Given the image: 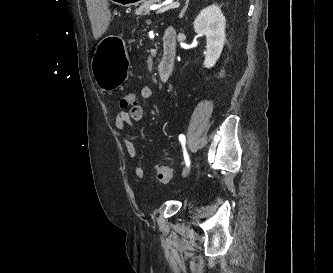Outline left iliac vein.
<instances>
[{
    "mask_svg": "<svg viewBox=\"0 0 333 273\" xmlns=\"http://www.w3.org/2000/svg\"><path fill=\"white\" fill-rule=\"evenodd\" d=\"M190 167H191V165H189L188 167H187V169L184 171V173H183V176H186L188 173H189V171H190Z\"/></svg>",
    "mask_w": 333,
    "mask_h": 273,
    "instance_id": "left-iliac-vein-1",
    "label": "left iliac vein"
}]
</instances>
